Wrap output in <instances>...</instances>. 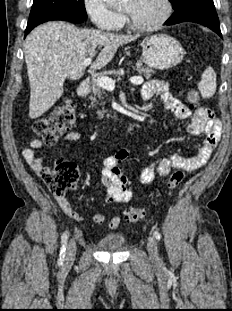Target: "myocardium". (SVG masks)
<instances>
[{
    "mask_svg": "<svg viewBox=\"0 0 232 311\" xmlns=\"http://www.w3.org/2000/svg\"><path fill=\"white\" fill-rule=\"evenodd\" d=\"M162 3V13L160 17L153 23L149 25H138L136 24L130 17V15L126 12L125 13V21L130 29L140 33H149L159 29L162 25L166 23L169 19L172 11V6L170 0H161Z\"/></svg>",
    "mask_w": 232,
    "mask_h": 311,
    "instance_id": "f54148a6",
    "label": "myocardium"
}]
</instances>
